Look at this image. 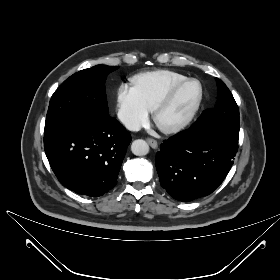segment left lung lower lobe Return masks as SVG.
Returning <instances> with one entry per match:
<instances>
[{
	"label": "left lung lower lobe",
	"mask_w": 280,
	"mask_h": 280,
	"mask_svg": "<svg viewBox=\"0 0 280 280\" xmlns=\"http://www.w3.org/2000/svg\"><path fill=\"white\" fill-rule=\"evenodd\" d=\"M238 141L207 127H191L165 140L156 155L161 186L175 200L211 194L234 163Z\"/></svg>",
	"instance_id": "0a47b994"
}]
</instances>
